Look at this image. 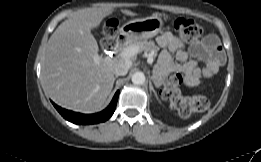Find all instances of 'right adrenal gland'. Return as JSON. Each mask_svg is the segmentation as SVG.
<instances>
[{
  "mask_svg": "<svg viewBox=\"0 0 261 162\" xmlns=\"http://www.w3.org/2000/svg\"><path fill=\"white\" fill-rule=\"evenodd\" d=\"M117 78H118V76H115V77H114V81H115Z\"/></svg>",
  "mask_w": 261,
  "mask_h": 162,
  "instance_id": "right-adrenal-gland-1",
  "label": "right adrenal gland"
}]
</instances>
